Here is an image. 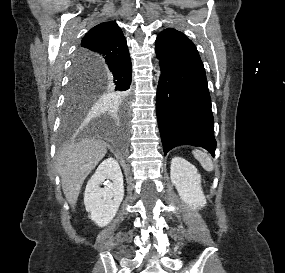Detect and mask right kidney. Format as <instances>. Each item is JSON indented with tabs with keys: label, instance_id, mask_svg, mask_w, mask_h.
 <instances>
[{
	"label": "right kidney",
	"instance_id": "ca27d5eb",
	"mask_svg": "<svg viewBox=\"0 0 285 273\" xmlns=\"http://www.w3.org/2000/svg\"><path fill=\"white\" fill-rule=\"evenodd\" d=\"M123 197L120 166L114 158H107L98 166L85 189L84 204L90 219L100 227L107 226L115 217Z\"/></svg>",
	"mask_w": 285,
	"mask_h": 273
}]
</instances>
